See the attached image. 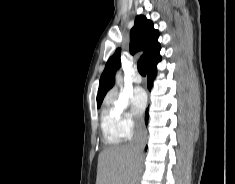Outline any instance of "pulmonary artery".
Returning a JSON list of instances; mask_svg holds the SVG:
<instances>
[{
	"instance_id": "obj_1",
	"label": "pulmonary artery",
	"mask_w": 235,
	"mask_h": 184,
	"mask_svg": "<svg viewBox=\"0 0 235 184\" xmlns=\"http://www.w3.org/2000/svg\"><path fill=\"white\" fill-rule=\"evenodd\" d=\"M132 81L135 84H140L142 82V77L138 72L132 74Z\"/></svg>"
}]
</instances>
